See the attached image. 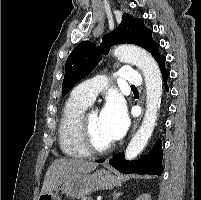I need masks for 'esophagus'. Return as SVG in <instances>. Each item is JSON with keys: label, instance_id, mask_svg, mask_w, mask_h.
Here are the masks:
<instances>
[{"label": "esophagus", "instance_id": "esophagus-1", "mask_svg": "<svg viewBox=\"0 0 201 200\" xmlns=\"http://www.w3.org/2000/svg\"><path fill=\"white\" fill-rule=\"evenodd\" d=\"M141 103H142V104L144 103V96H143V95H142V97H141ZM141 117H142V115L135 119V121H134V123H133L132 133H134L135 130L137 129V127H138V125H139V122H140V120H141Z\"/></svg>", "mask_w": 201, "mask_h": 200}]
</instances>
